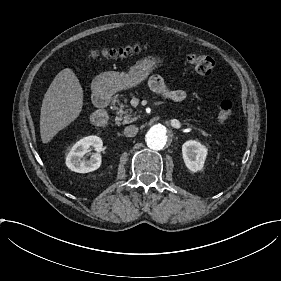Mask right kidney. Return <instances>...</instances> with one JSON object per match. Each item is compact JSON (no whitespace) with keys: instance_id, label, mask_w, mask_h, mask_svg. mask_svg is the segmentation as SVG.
I'll list each match as a JSON object with an SVG mask.
<instances>
[{"instance_id":"ca27d5eb","label":"right kidney","mask_w":281,"mask_h":281,"mask_svg":"<svg viewBox=\"0 0 281 281\" xmlns=\"http://www.w3.org/2000/svg\"><path fill=\"white\" fill-rule=\"evenodd\" d=\"M94 148L96 153L92 154L90 159L84 158V155ZM103 142L100 137L87 136L76 142L66 157V166L78 173H88L98 169L101 165V155Z\"/></svg>"}]
</instances>
